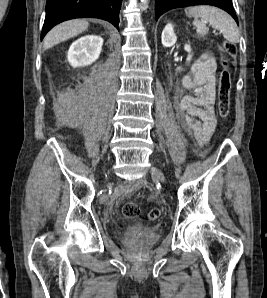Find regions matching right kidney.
<instances>
[{
    "instance_id": "1",
    "label": "right kidney",
    "mask_w": 267,
    "mask_h": 298,
    "mask_svg": "<svg viewBox=\"0 0 267 298\" xmlns=\"http://www.w3.org/2000/svg\"><path fill=\"white\" fill-rule=\"evenodd\" d=\"M103 39L99 35H86L72 43L68 50V61L74 68L91 65L101 53Z\"/></svg>"
}]
</instances>
